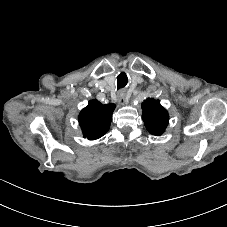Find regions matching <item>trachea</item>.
I'll return each instance as SVG.
<instances>
[{"label": "trachea", "instance_id": "trachea-1", "mask_svg": "<svg viewBox=\"0 0 227 227\" xmlns=\"http://www.w3.org/2000/svg\"><path fill=\"white\" fill-rule=\"evenodd\" d=\"M117 86H118V89H119V88H121V87H123V85H121V83H120V80H119V79L117 80Z\"/></svg>", "mask_w": 227, "mask_h": 227}]
</instances>
